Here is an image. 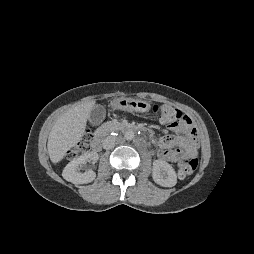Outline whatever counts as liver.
Returning a JSON list of instances; mask_svg holds the SVG:
<instances>
[{
  "label": "liver",
  "mask_w": 254,
  "mask_h": 254,
  "mask_svg": "<svg viewBox=\"0 0 254 254\" xmlns=\"http://www.w3.org/2000/svg\"><path fill=\"white\" fill-rule=\"evenodd\" d=\"M95 101L78 105L66 111L52 127L48 137V154L53 163L60 162L66 152L81 140L86 128V122Z\"/></svg>",
  "instance_id": "obj_1"
}]
</instances>
